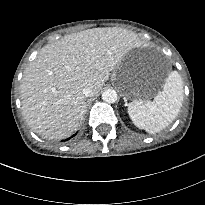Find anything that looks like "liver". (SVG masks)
<instances>
[{
  "instance_id": "obj_1",
  "label": "liver",
  "mask_w": 205,
  "mask_h": 205,
  "mask_svg": "<svg viewBox=\"0 0 205 205\" xmlns=\"http://www.w3.org/2000/svg\"><path fill=\"white\" fill-rule=\"evenodd\" d=\"M136 35L121 28H93L45 45L26 68L20 86L22 112L29 127L48 139L70 136L86 113L83 89L98 93Z\"/></svg>"
}]
</instances>
